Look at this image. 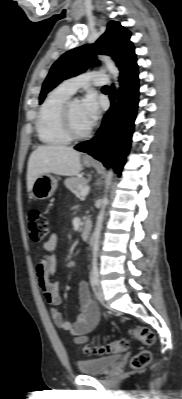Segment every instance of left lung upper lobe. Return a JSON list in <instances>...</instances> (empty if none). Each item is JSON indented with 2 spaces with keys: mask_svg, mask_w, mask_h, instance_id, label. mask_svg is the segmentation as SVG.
I'll return each instance as SVG.
<instances>
[{
  "mask_svg": "<svg viewBox=\"0 0 182 399\" xmlns=\"http://www.w3.org/2000/svg\"><path fill=\"white\" fill-rule=\"evenodd\" d=\"M130 36V32L119 22L111 21L106 32L95 44L83 45L64 53L52 65L42 85L39 102L42 103L46 94L61 81L82 73L89 66L96 65V54L111 56L120 69V75L136 66V55Z\"/></svg>",
  "mask_w": 182,
  "mask_h": 399,
  "instance_id": "left-lung-upper-lobe-1",
  "label": "left lung upper lobe"
}]
</instances>
